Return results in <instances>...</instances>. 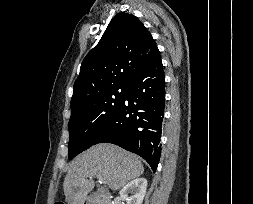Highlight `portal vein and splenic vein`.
Masks as SVG:
<instances>
[{"label":"portal vein and splenic vein","mask_w":253,"mask_h":204,"mask_svg":"<svg viewBox=\"0 0 253 204\" xmlns=\"http://www.w3.org/2000/svg\"><path fill=\"white\" fill-rule=\"evenodd\" d=\"M99 182L102 184V183H105L104 181H102L101 179H99Z\"/></svg>","instance_id":"1"}]
</instances>
